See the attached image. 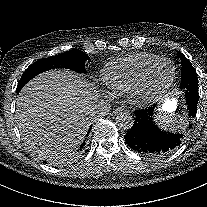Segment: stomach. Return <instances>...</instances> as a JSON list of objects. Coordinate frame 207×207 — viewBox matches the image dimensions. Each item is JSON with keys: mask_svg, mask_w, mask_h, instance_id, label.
<instances>
[{"mask_svg": "<svg viewBox=\"0 0 207 207\" xmlns=\"http://www.w3.org/2000/svg\"><path fill=\"white\" fill-rule=\"evenodd\" d=\"M177 107V102L175 99L167 100L163 105H162V110L163 111H174Z\"/></svg>", "mask_w": 207, "mask_h": 207, "instance_id": "1", "label": "stomach"}]
</instances>
